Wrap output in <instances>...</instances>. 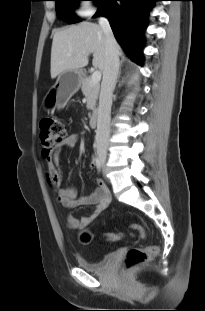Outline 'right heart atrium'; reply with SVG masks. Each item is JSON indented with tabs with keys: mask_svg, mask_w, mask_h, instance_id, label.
I'll return each instance as SVG.
<instances>
[{
	"mask_svg": "<svg viewBox=\"0 0 205 311\" xmlns=\"http://www.w3.org/2000/svg\"><path fill=\"white\" fill-rule=\"evenodd\" d=\"M95 11L94 5L90 1H82L79 12L83 16H89Z\"/></svg>",
	"mask_w": 205,
	"mask_h": 311,
	"instance_id": "obj_1",
	"label": "right heart atrium"
}]
</instances>
